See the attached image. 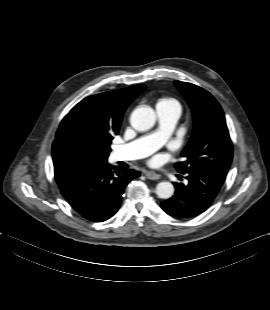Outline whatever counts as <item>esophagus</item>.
I'll return each mask as SVG.
<instances>
[{
  "instance_id": "34e87169",
  "label": "esophagus",
  "mask_w": 270,
  "mask_h": 310,
  "mask_svg": "<svg viewBox=\"0 0 270 310\" xmlns=\"http://www.w3.org/2000/svg\"><path fill=\"white\" fill-rule=\"evenodd\" d=\"M146 177L148 178V179H150V180H158V179H160V175L159 174H157V173H155V172H152V171H148V172H146Z\"/></svg>"
}]
</instances>
